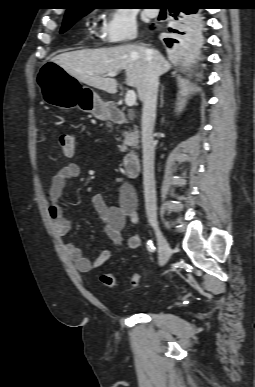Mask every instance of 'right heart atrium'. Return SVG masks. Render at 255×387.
Here are the masks:
<instances>
[{
	"mask_svg": "<svg viewBox=\"0 0 255 387\" xmlns=\"http://www.w3.org/2000/svg\"><path fill=\"white\" fill-rule=\"evenodd\" d=\"M137 35V22L126 8L114 9L99 29V36L106 44H119L133 40Z\"/></svg>",
	"mask_w": 255,
	"mask_h": 387,
	"instance_id": "right-heart-atrium-1",
	"label": "right heart atrium"
}]
</instances>
